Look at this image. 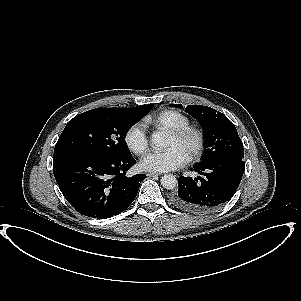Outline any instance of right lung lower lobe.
Returning a JSON list of instances; mask_svg holds the SVG:
<instances>
[{
	"label": "right lung lower lobe",
	"instance_id": "right-lung-lower-lobe-1",
	"mask_svg": "<svg viewBox=\"0 0 301 301\" xmlns=\"http://www.w3.org/2000/svg\"><path fill=\"white\" fill-rule=\"evenodd\" d=\"M53 171L67 201L81 214L110 218L135 199L146 175L126 177L135 163L129 156L74 153L53 160Z\"/></svg>",
	"mask_w": 301,
	"mask_h": 301
}]
</instances>
